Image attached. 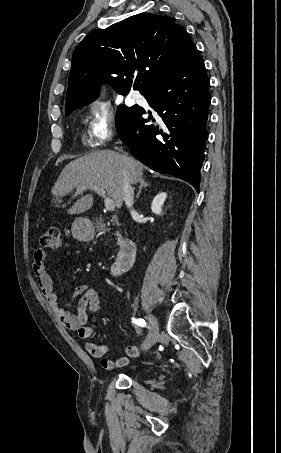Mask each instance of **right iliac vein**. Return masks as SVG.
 <instances>
[{
	"label": "right iliac vein",
	"instance_id": "63e3f726",
	"mask_svg": "<svg viewBox=\"0 0 281 453\" xmlns=\"http://www.w3.org/2000/svg\"><path fill=\"white\" fill-rule=\"evenodd\" d=\"M148 318L151 320V324L154 328L151 329V331H150L151 333H150L149 337H147L144 344L139 346V349H143L145 352L148 351L150 348H152V346L155 345L154 342H155V340H157V338H158L157 334L159 332L158 331V328H159L158 321L156 319H154L152 317V315H150Z\"/></svg>",
	"mask_w": 281,
	"mask_h": 453
}]
</instances>
